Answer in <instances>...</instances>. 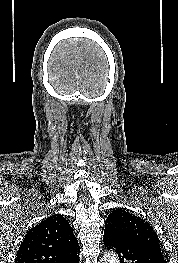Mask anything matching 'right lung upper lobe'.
<instances>
[{
    "label": "right lung upper lobe",
    "mask_w": 178,
    "mask_h": 263,
    "mask_svg": "<svg viewBox=\"0 0 178 263\" xmlns=\"http://www.w3.org/2000/svg\"><path fill=\"white\" fill-rule=\"evenodd\" d=\"M79 249L67 220L59 214L52 215L27 232L15 263H70Z\"/></svg>",
    "instance_id": "cb5924a9"
}]
</instances>
